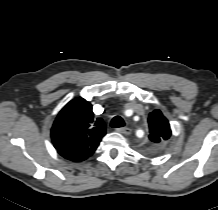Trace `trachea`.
<instances>
[{
    "label": "trachea",
    "mask_w": 218,
    "mask_h": 210,
    "mask_svg": "<svg viewBox=\"0 0 218 210\" xmlns=\"http://www.w3.org/2000/svg\"><path fill=\"white\" fill-rule=\"evenodd\" d=\"M113 128H121L125 126V122L120 116H115L110 123Z\"/></svg>",
    "instance_id": "trachea-1"
}]
</instances>
